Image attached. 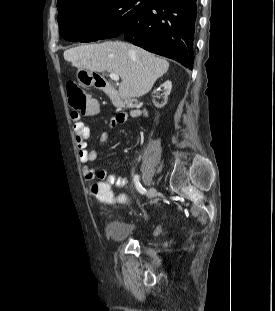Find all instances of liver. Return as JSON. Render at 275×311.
<instances>
[{
  "instance_id": "1",
  "label": "liver",
  "mask_w": 275,
  "mask_h": 311,
  "mask_svg": "<svg viewBox=\"0 0 275 311\" xmlns=\"http://www.w3.org/2000/svg\"><path fill=\"white\" fill-rule=\"evenodd\" d=\"M63 55L78 69L119 75V96L123 100L147 94L169 68L167 60L120 41L82 45L66 50Z\"/></svg>"
}]
</instances>
